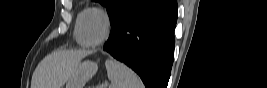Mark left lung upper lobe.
Masks as SVG:
<instances>
[{
	"label": "left lung upper lobe",
	"mask_w": 267,
	"mask_h": 88,
	"mask_svg": "<svg viewBox=\"0 0 267 88\" xmlns=\"http://www.w3.org/2000/svg\"><path fill=\"white\" fill-rule=\"evenodd\" d=\"M94 1L100 2L102 5L107 7L108 15L112 26L131 0H94Z\"/></svg>",
	"instance_id": "5c2ea615"
}]
</instances>
